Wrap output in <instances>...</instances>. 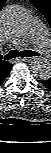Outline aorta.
Wrapping results in <instances>:
<instances>
[{
    "instance_id": "762f6f07",
    "label": "aorta",
    "mask_w": 51,
    "mask_h": 153,
    "mask_svg": "<svg viewBox=\"0 0 51 153\" xmlns=\"http://www.w3.org/2000/svg\"><path fill=\"white\" fill-rule=\"evenodd\" d=\"M31 19L28 12L20 6H9L1 13V25L9 36L21 35L29 28ZM31 72L40 80L51 77V63L45 57H36L30 64Z\"/></svg>"
}]
</instances>
